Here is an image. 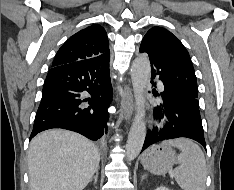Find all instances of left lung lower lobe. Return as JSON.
<instances>
[{
    "label": "left lung lower lobe",
    "mask_w": 234,
    "mask_h": 190,
    "mask_svg": "<svg viewBox=\"0 0 234 190\" xmlns=\"http://www.w3.org/2000/svg\"><path fill=\"white\" fill-rule=\"evenodd\" d=\"M149 59L151 75L153 77L159 75V79L164 84V90L160 94L155 90L152 91L155 96L162 99V103L154 108V116L157 119L166 118L167 121L161 130L158 131L155 127L152 131H148L142 151L158 141L179 137L193 139L206 149L199 107L170 87L165 67L157 58L149 56Z\"/></svg>",
    "instance_id": "left-lung-lower-lobe-1"
}]
</instances>
